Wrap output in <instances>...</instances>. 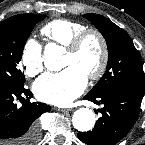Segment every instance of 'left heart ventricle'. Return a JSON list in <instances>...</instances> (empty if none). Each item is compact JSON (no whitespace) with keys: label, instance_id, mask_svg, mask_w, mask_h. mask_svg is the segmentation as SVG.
I'll return each instance as SVG.
<instances>
[{"label":"left heart ventricle","instance_id":"b2bd125f","mask_svg":"<svg viewBox=\"0 0 145 145\" xmlns=\"http://www.w3.org/2000/svg\"><path fill=\"white\" fill-rule=\"evenodd\" d=\"M100 59L101 48L99 41L95 37L91 36L85 40L78 52L65 53L62 68L74 65L88 76L98 68Z\"/></svg>","mask_w":145,"mask_h":145}]
</instances>
